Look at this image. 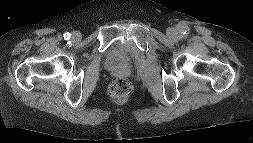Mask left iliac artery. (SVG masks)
<instances>
[{
	"mask_svg": "<svg viewBox=\"0 0 253 143\" xmlns=\"http://www.w3.org/2000/svg\"><path fill=\"white\" fill-rule=\"evenodd\" d=\"M189 34V29H182L181 30V37L185 38Z\"/></svg>",
	"mask_w": 253,
	"mask_h": 143,
	"instance_id": "44dca946",
	"label": "left iliac artery"
}]
</instances>
